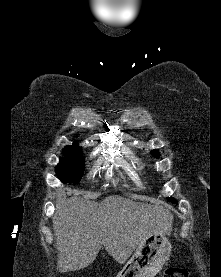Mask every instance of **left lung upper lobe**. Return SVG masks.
<instances>
[{
    "mask_svg": "<svg viewBox=\"0 0 221 277\" xmlns=\"http://www.w3.org/2000/svg\"><path fill=\"white\" fill-rule=\"evenodd\" d=\"M151 153L157 158L160 156L159 152L156 150L151 151ZM168 200L177 204V201L172 197H169Z\"/></svg>",
    "mask_w": 221,
    "mask_h": 277,
    "instance_id": "obj_1",
    "label": "left lung upper lobe"
}]
</instances>
